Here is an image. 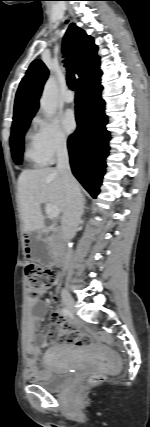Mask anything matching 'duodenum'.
Returning a JSON list of instances; mask_svg holds the SVG:
<instances>
[{"label":"duodenum","instance_id":"obj_1","mask_svg":"<svg viewBox=\"0 0 150 427\" xmlns=\"http://www.w3.org/2000/svg\"><path fill=\"white\" fill-rule=\"evenodd\" d=\"M55 241L57 242V245L61 248H63L65 246V242L63 241V239L61 238L60 235H56L55 237ZM27 242H29V240H27ZM66 262V255L65 253L61 252L59 253L56 258H55V264L58 267H62L64 266Z\"/></svg>","mask_w":150,"mask_h":427}]
</instances>
